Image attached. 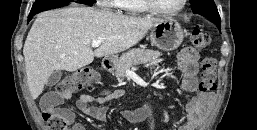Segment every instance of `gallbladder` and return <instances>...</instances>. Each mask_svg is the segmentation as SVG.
<instances>
[{"instance_id": "gallbladder-1", "label": "gallbladder", "mask_w": 257, "mask_h": 130, "mask_svg": "<svg viewBox=\"0 0 257 130\" xmlns=\"http://www.w3.org/2000/svg\"><path fill=\"white\" fill-rule=\"evenodd\" d=\"M62 77V71H54L47 80V86L52 87L57 84Z\"/></svg>"}]
</instances>
